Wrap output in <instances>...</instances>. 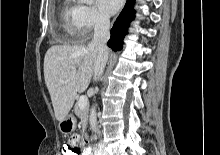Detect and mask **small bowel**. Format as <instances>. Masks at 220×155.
<instances>
[{
	"label": "small bowel",
	"mask_w": 220,
	"mask_h": 155,
	"mask_svg": "<svg viewBox=\"0 0 220 155\" xmlns=\"http://www.w3.org/2000/svg\"><path fill=\"white\" fill-rule=\"evenodd\" d=\"M66 145H88L89 141L85 140V136H80L79 133H72L71 136L65 141ZM83 155H87L86 152Z\"/></svg>",
	"instance_id": "obj_1"
}]
</instances>
